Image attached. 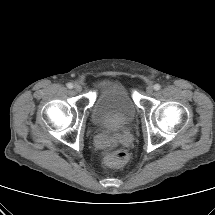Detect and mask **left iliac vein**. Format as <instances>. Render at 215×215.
Segmentation results:
<instances>
[{"instance_id": "left-iliac-vein-1", "label": "left iliac vein", "mask_w": 215, "mask_h": 215, "mask_svg": "<svg viewBox=\"0 0 215 215\" xmlns=\"http://www.w3.org/2000/svg\"><path fill=\"white\" fill-rule=\"evenodd\" d=\"M154 90V87L152 85L147 86L146 88V92L147 94H152Z\"/></svg>"}]
</instances>
